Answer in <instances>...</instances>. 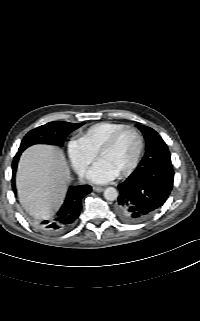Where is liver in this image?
<instances>
[{"instance_id": "liver-1", "label": "liver", "mask_w": 200, "mask_h": 321, "mask_svg": "<svg viewBox=\"0 0 200 321\" xmlns=\"http://www.w3.org/2000/svg\"><path fill=\"white\" fill-rule=\"evenodd\" d=\"M69 179V168L61 150L34 145L20 158L16 187L21 205L31 215L45 218L60 201Z\"/></svg>"}]
</instances>
